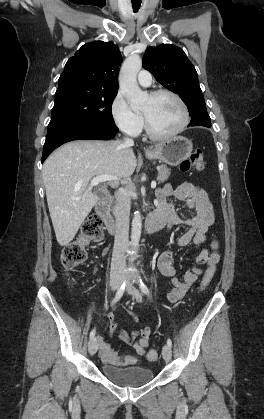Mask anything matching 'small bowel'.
Returning a JSON list of instances; mask_svg holds the SVG:
<instances>
[{
  "label": "small bowel",
  "instance_id": "c3829d8e",
  "mask_svg": "<svg viewBox=\"0 0 264 419\" xmlns=\"http://www.w3.org/2000/svg\"><path fill=\"white\" fill-rule=\"evenodd\" d=\"M171 197L177 201L186 202L188 208L193 212L188 215L178 214L174 204L168 200ZM157 205L158 209L156 214L163 218L164 225L169 231L175 226L186 225L185 232L178 240L179 246L185 247L191 243L198 246L205 244L207 240L206 233L214 222V214L208 196L200 186L191 182H184L176 188H173L167 184L157 192ZM218 262L219 254L217 252H209L206 248H202L195 257V265L190 267L183 277L180 278L176 275L177 269L173 265L172 252H163L158 258V268L163 276L171 279L172 289L167 294L168 300L174 303L186 295L191 286L203 274L201 265L206 264L208 267H216ZM96 270L97 268H95ZM107 319V338L118 336L127 344L133 346L136 355L120 356L111 348L106 338L98 335L96 339L101 360L106 364L114 366L137 363L146 354L152 334L151 329L149 327H143L127 333L117 329L116 315L114 312H109Z\"/></svg>",
  "mask_w": 264,
  "mask_h": 419
}]
</instances>
